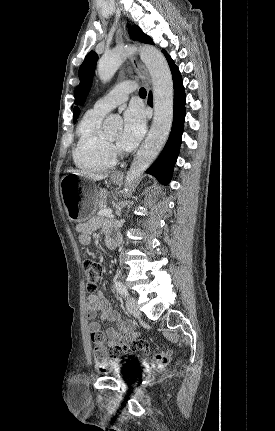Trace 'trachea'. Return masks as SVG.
<instances>
[{"instance_id":"1","label":"trachea","mask_w":275,"mask_h":431,"mask_svg":"<svg viewBox=\"0 0 275 431\" xmlns=\"http://www.w3.org/2000/svg\"><path fill=\"white\" fill-rule=\"evenodd\" d=\"M139 95L140 96H146V90H145V88H140V90H139Z\"/></svg>"}]
</instances>
